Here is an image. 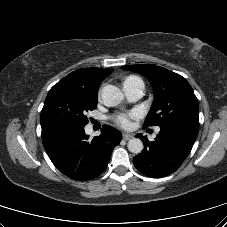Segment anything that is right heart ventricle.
<instances>
[{
  "label": "right heart ventricle",
  "instance_id": "obj_1",
  "mask_svg": "<svg viewBox=\"0 0 227 227\" xmlns=\"http://www.w3.org/2000/svg\"><path fill=\"white\" fill-rule=\"evenodd\" d=\"M139 78L136 77V76H129L126 78V80L124 82H127V81H132V80H138Z\"/></svg>",
  "mask_w": 227,
  "mask_h": 227
}]
</instances>
